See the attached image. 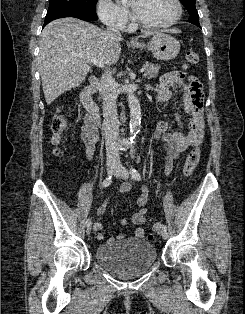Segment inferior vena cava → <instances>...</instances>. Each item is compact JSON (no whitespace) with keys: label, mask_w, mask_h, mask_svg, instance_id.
I'll return each instance as SVG.
<instances>
[{"label":"inferior vena cava","mask_w":245,"mask_h":314,"mask_svg":"<svg viewBox=\"0 0 245 314\" xmlns=\"http://www.w3.org/2000/svg\"><path fill=\"white\" fill-rule=\"evenodd\" d=\"M108 30L117 36H121L120 32L111 26H108ZM115 85L111 72L109 70L105 71L100 79L99 93L103 100V130L105 134L107 160L119 163V122L116 109L117 93Z\"/></svg>","instance_id":"inferior-vena-cava-1"}]
</instances>
